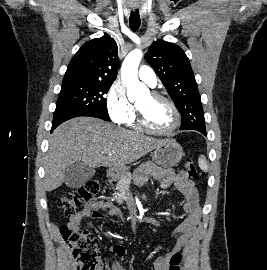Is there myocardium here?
I'll return each instance as SVG.
<instances>
[{"mask_svg":"<svg viewBox=\"0 0 267 270\" xmlns=\"http://www.w3.org/2000/svg\"><path fill=\"white\" fill-rule=\"evenodd\" d=\"M150 95L154 99L161 100V101L165 102L170 107V109L173 113V118H174L173 124L169 129L164 130V131L153 129L149 125H147V123L145 122V120L143 118L141 111L137 108V124H138V126L142 130H144L150 134H153V135H157V136L172 135L178 129V127L180 125V113H179L177 106L170 98H168L167 96H165L163 94H160L158 92H152Z\"/></svg>","mask_w":267,"mask_h":270,"instance_id":"1","label":"myocardium"}]
</instances>
